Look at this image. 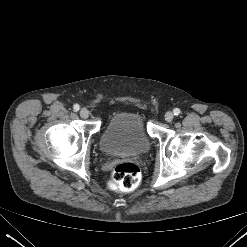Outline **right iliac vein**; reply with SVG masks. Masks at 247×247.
<instances>
[{
    "label": "right iliac vein",
    "mask_w": 247,
    "mask_h": 247,
    "mask_svg": "<svg viewBox=\"0 0 247 247\" xmlns=\"http://www.w3.org/2000/svg\"><path fill=\"white\" fill-rule=\"evenodd\" d=\"M80 116L83 118V119H86L89 117V111L86 109V108H82L80 110Z\"/></svg>",
    "instance_id": "right-iliac-vein-1"
}]
</instances>
